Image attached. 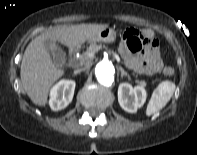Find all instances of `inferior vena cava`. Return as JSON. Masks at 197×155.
I'll return each mask as SVG.
<instances>
[{
    "label": "inferior vena cava",
    "mask_w": 197,
    "mask_h": 155,
    "mask_svg": "<svg viewBox=\"0 0 197 155\" xmlns=\"http://www.w3.org/2000/svg\"><path fill=\"white\" fill-rule=\"evenodd\" d=\"M85 69H86V67L80 68V69H77L76 72L78 73V72L84 71Z\"/></svg>",
    "instance_id": "1"
}]
</instances>
